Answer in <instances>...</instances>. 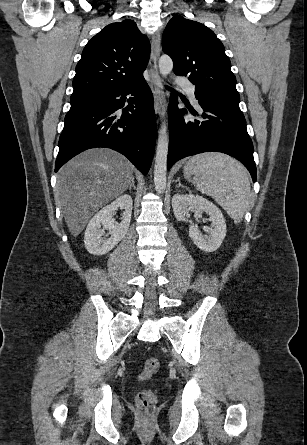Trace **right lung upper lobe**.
Here are the masks:
<instances>
[{
    "instance_id": "1",
    "label": "right lung upper lobe",
    "mask_w": 307,
    "mask_h": 445,
    "mask_svg": "<svg viewBox=\"0 0 307 445\" xmlns=\"http://www.w3.org/2000/svg\"><path fill=\"white\" fill-rule=\"evenodd\" d=\"M149 55L150 43L133 20L107 25L82 52L71 99L142 80Z\"/></svg>"
}]
</instances>
